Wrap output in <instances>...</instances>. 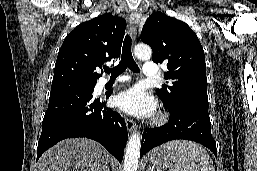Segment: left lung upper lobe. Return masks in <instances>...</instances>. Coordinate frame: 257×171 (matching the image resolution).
I'll return each mask as SVG.
<instances>
[{
	"mask_svg": "<svg viewBox=\"0 0 257 171\" xmlns=\"http://www.w3.org/2000/svg\"><path fill=\"white\" fill-rule=\"evenodd\" d=\"M141 40L151 46L154 62L167 63L164 78L170 85L162 84L156 90L167 107L187 103L208 106L204 51L186 23L155 12L144 24Z\"/></svg>",
	"mask_w": 257,
	"mask_h": 171,
	"instance_id": "1",
	"label": "left lung upper lobe"
}]
</instances>
